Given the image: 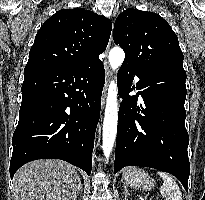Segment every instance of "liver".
Returning a JSON list of instances; mask_svg holds the SVG:
<instances>
[{"instance_id":"6515ba94","label":"liver","mask_w":205,"mask_h":200,"mask_svg":"<svg viewBox=\"0 0 205 200\" xmlns=\"http://www.w3.org/2000/svg\"><path fill=\"white\" fill-rule=\"evenodd\" d=\"M80 176L75 167L61 160H36L14 175V200H73Z\"/></svg>"}]
</instances>
